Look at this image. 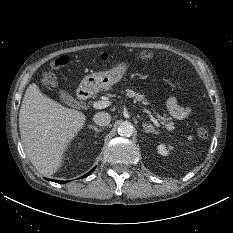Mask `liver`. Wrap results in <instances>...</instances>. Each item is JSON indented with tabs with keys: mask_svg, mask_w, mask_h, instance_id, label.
<instances>
[{
	"mask_svg": "<svg viewBox=\"0 0 233 233\" xmlns=\"http://www.w3.org/2000/svg\"><path fill=\"white\" fill-rule=\"evenodd\" d=\"M85 120L84 113L47 97L35 83L28 86L19 112V129L25 152L38 172L52 175L61 167L65 151Z\"/></svg>",
	"mask_w": 233,
	"mask_h": 233,
	"instance_id": "6515ba94",
	"label": "liver"
}]
</instances>
